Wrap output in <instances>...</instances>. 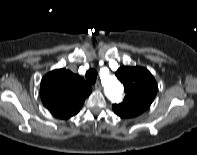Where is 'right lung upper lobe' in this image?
<instances>
[{
    "mask_svg": "<svg viewBox=\"0 0 197 155\" xmlns=\"http://www.w3.org/2000/svg\"><path fill=\"white\" fill-rule=\"evenodd\" d=\"M91 91V86L81 76L66 69L49 72L40 86L43 104L60 119L77 114Z\"/></svg>",
    "mask_w": 197,
    "mask_h": 155,
    "instance_id": "obj_1",
    "label": "right lung upper lobe"
}]
</instances>
